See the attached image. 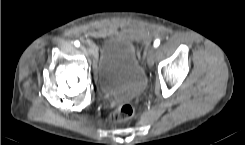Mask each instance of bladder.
<instances>
[{
	"label": "bladder",
	"instance_id": "1",
	"mask_svg": "<svg viewBox=\"0 0 245 145\" xmlns=\"http://www.w3.org/2000/svg\"><path fill=\"white\" fill-rule=\"evenodd\" d=\"M101 91L122 99L136 97L145 88V73L132 38L115 34L104 38L96 64Z\"/></svg>",
	"mask_w": 245,
	"mask_h": 145
}]
</instances>
